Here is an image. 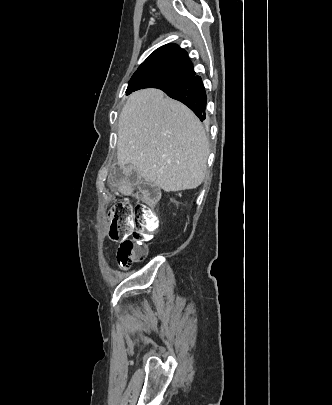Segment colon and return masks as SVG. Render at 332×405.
<instances>
[{"label": "colon", "instance_id": "colon-1", "mask_svg": "<svg viewBox=\"0 0 332 405\" xmlns=\"http://www.w3.org/2000/svg\"><path fill=\"white\" fill-rule=\"evenodd\" d=\"M140 193L145 201L156 202L158 189L149 182H143ZM109 237L119 242L117 262L128 268L143 261L147 256L144 238L149 237L159 227L157 214L145 203L120 202L109 212Z\"/></svg>", "mask_w": 332, "mask_h": 405}]
</instances>
